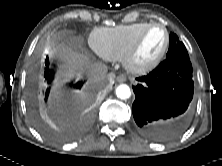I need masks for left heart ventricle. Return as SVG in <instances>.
Returning <instances> with one entry per match:
<instances>
[{
	"instance_id": "b2bd125f",
	"label": "left heart ventricle",
	"mask_w": 222,
	"mask_h": 166,
	"mask_svg": "<svg viewBox=\"0 0 222 166\" xmlns=\"http://www.w3.org/2000/svg\"><path fill=\"white\" fill-rule=\"evenodd\" d=\"M165 43V32L162 28L150 29L143 37L137 50L135 60L139 64L152 61L161 51Z\"/></svg>"
}]
</instances>
